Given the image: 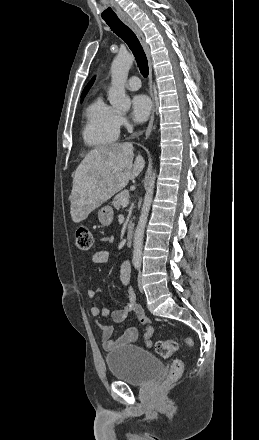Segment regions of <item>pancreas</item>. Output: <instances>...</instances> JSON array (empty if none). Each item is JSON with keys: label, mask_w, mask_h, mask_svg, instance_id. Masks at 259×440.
<instances>
[{"label": "pancreas", "mask_w": 259, "mask_h": 440, "mask_svg": "<svg viewBox=\"0 0 259 440\" xmlns=\"http://www.w3.org/2000/svg\"><path fill=\"white\" fill-rule=\"evenodd\" d=\"M125 198H129V192L127 190L122 191L114 197L112 204L116 210L120 209L122 206V200Z\"/></svg>", "instance_id": "1"}]
</instances>
